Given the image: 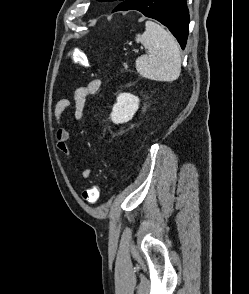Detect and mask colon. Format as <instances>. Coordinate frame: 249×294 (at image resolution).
<instances>
[{"label":"colon","mask_w":249,"mask_h":294,"mask_svg":"<svg viewBox=\"0 0 249 294\" xmlns=\"http://www.w3.org/2000/svg\"><path fill=\"white\" fill-rule=\"evenodd\" d=\"M68 57L75 65H78L81 67L89 66V60L87 58V55L81 49L71 48L68 51ZM99 195H100V188L98 185H93L87 188L86 190H84L82 193L83 200L87 203L96 202L99 198Z\"/></svg>","instance_id":"5ec220e1"}]
</instances>
